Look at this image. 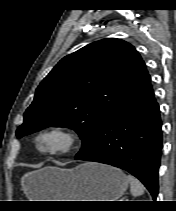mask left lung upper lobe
<instances>
[{"instance_id":"obj_1","label":"left lung upper lobe","mask_w":176,"mask_h":211,"mask_svg":"<svg viewBox=\"0 0 176 211\" xmlns=\"http://www.w3.org/2000/svg\"><path fill=\"white\" fill-rule=\"evenodd\" d=\"M149 87L144 61L131 44L115 38L93 42L64 57L44 78L16 135L72 128L83 141L79 155L115 110Z\"/></svg>"}]
</instances>
